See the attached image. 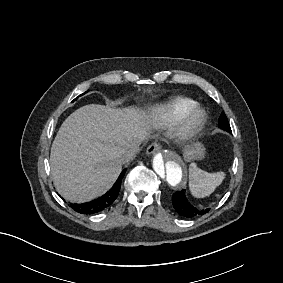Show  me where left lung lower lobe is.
Returning <instances> with one entry per match:
<instances>
[{
    "label": "left lung lower lobe",
    "mask_w": 283,
    "mask_h": 283,
    "mask_svg": "<svg viewBox=\"0 0 283 283\" xmlns=\"http://www.w3.org/2000/svg\"><path fill=\"white\" fill-rule=\"evenodd\" d=\"M218 125L221 129L231 133L230 125H229L227 117L225 116L224 113H222L220 115V118L218 120ZM185 192H186L185 190H181V191L174 193L173 196H172V204H173L174 208L176 209V211L180 215L185 216L187 218H192V217H195L199 214L203 215V214H205L206 212L209 211V209L199 210V209L193 207L187 201L186 196H185Z\"/></svg>",
    "instance_id": "obj_1"
}]
</instances>
